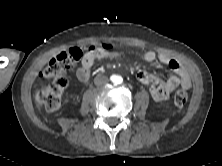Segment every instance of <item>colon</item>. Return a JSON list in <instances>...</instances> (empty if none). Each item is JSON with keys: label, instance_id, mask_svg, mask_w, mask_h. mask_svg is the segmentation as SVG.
<instances>
[{"label": "colon", "instance_id": "obj_1", "mask_svg": "<svg viewBox=\"0 0 222 166\" xmlns=\"http://www.w3.org/2000/svg\"><path fill=\"white\" fill-rule=\"evenodd\" d=\"M108 49L110 46L104 45ZM96 47L90 48L92 51ZM83 51L79 48H70L56 57L52 58L42 72L44 78L50 79L51 82L43 87L36 95L37 102L47 111L55 112L61 106L62 93L68 85V79L64 72L75 66L83 57ZM188 92L185 88H179L174 94V102L177 106L182 107L186 104Z\"/></svg>", "mask_w": 222, "mask_h": 166}]
</instances>
